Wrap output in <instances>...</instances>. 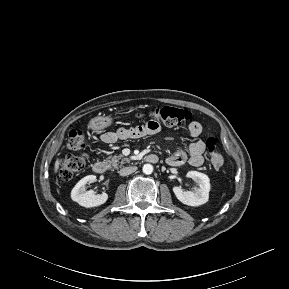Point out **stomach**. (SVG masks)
Wrapping results in <instances>:
<instances>
[{"label":"stomach","mask_w":289,"mask_h":289,"mask_svg":"<svg viewBox=\"0 0 289 289\" xmlns=\"http://www.w3.org/2000/svg\"><path fill=\"white\" fill-rule=\"evenodd\" d=\"M113 122V118L110 116H97L90 120L89 128L92 130H103L109 127Z\"/></svg>","instance_id":"0dacf381"}]
</instances>
